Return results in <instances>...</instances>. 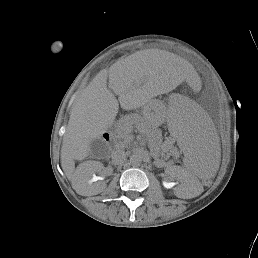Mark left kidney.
I'll return each instance as SVG.
<instances>
[{"mask_svg": "<svg viewBox=\"0 0 258 258\" xmlns=\"http://www.w3.org/2000/svg\"><path fill=\"white\" fill-rule=\"evenodd\" d=\"M181 179L184 180V182H186L188 185V181L181 176ZM174 188V195H176L179 198H189V197H193L194 195L192 193H190V190L188 187L183 186V185H177V183H170V187L175 186Z\"/></svg>", "mask_w": 258, "mask_h": 258, "instance_id": "1", "label": "left kidney"}]
</instances>
